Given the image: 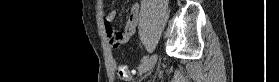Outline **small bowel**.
<instances>
[{
	"instance_id": "c3829d8e",
	"label": "small bowel",
	"mask_w": 279,
	"mask_h": 82,
	"mask_svg": "<svg viewBox=\"0 0 279 82\" xmlns=\"http://www.w3.org/2000/svg\"><path fill=\"white\" fill-rule=\"evenodd\" d=\"M116 15H117V11L111 10L106 15L104 21L106 34L109 40V45L113 48H119L121 46L129 44L137 26L138 17H139V5L137 3L132 5L124 29L122 31L115 30L113 28L112 23Z\"/></svg>"
}]
</instances>
